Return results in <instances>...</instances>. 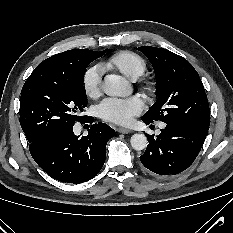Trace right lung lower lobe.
Instances as JSON below:
<instances>
[{"mask_svg": "<svg viewBox=\"0 0 233 233\" xmlns=\"http://www.w3.org/2000/svg\"><path fill=\"white\" fill-rule=\"evenodd\" d=\"M93 122L92 117L84 119ZM115 131L105 123L93 124L87 136H76L73 126L56 129L29 143L35 162L52 178L79 184L101 170L106 145Z\"/></svg>", "mask_w": 233, "mask_h": 233, "instance_id": "obj_1", "label": "right lung lower lobe"}]
</instances>
